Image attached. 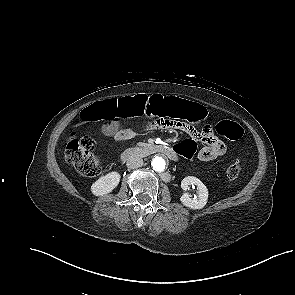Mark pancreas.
Listing matches in <instances>:
<instances>
[{"instance_id": "pancreas-1", "label": "pancreas", "mask_w": 295, "mask_h": 295, "mask_svg": "<svg viewBox=\"0 0 295 295\" xmlns=\"http://www.w3.org/2000/svg\"><path fill=\"white\" fill-rule=\"evenodd\" d=\"M137 146H139V147H145L146 146V143L140 142V143L137 144Z\"/></svg>"}]
</instances>
